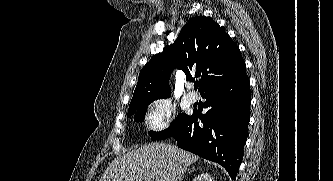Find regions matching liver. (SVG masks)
Returning a JSON list of instances; mask_svg holds the SVG:
<instances>
[{
  "instance_id": "1",
  "label": "liver",
  "mask_w": 333,
  "mask_h": 181,
  "mask_svg": "<svg viewBox=\"0 0 333 181\" xmlns=\"http://www.w3.org/2000/svg\"><path fill=\"white\" fill-rule=\"evenodd\" d=\"M198 156L177 146L151 143L115 158L99 181H182Z\"/></svg>"
}]
</instances>
